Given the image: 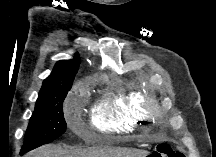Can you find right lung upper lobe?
Listing matches in <instances>:
<instances>
[{
	"mask_svg": "<svg viewBox=\"0 0 216 157\" xmlns=\"http://www.w3.org/2000/svg\"><path fill=\"white\" fill-rule=\"evenodd\" d=\"M79 65L80 58L78 54H75L73 60L58 61L55 64L51 75L43 81L36 106H39V104H41L48 97L53 96L65 88L71 89Z\"/></svg>",
	"mask_w": 216,
	"mask_h": 157,
	"instance_id": "obj_1",
	"label": "right lung upper lobe"
}]
</instances>
